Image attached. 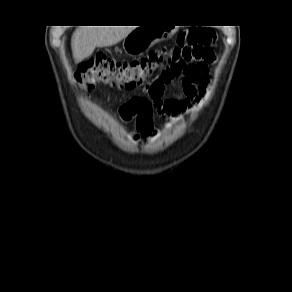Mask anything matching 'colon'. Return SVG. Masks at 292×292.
<instances>
[{
    "label": "colon",
    "mask_w": 292,
    "mask_h": 292,
    "mask_svg": "<svg viewBox=\"0 0 292 292\" xmlns=\"http://www.w3.org/2000/svg\"><path fill=\"white\" fill-rule=\"evenodd\" d=\"M215 41L213 30L190 28L179 34L176 46L152 51L141 59L118 61L97 55L79 66L75 79L85 91H91L99 83L122 90L143 86L147 96L128 101L121 108V114L125 119H136L140 127L149 128L156 97L163 86L173 78L185 75L193 64L207 58Z\"/></svg>",
    "instance_id": "5ec220e1"
}]
</instances>
